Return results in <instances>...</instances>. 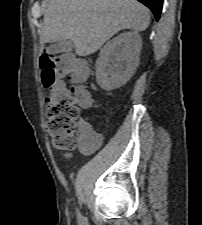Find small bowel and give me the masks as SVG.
<instances>
[{"label":"small bowel","mask_w":202,"mask_h":225,"mask_svg":"<svg viewBox=\"0 0 202 225\" xmlns=\"http://www.w3.org/2000/svg\"><path fill=\"white\" fill-rule=\"evenodd\" d=\"M79 99H80V105L84 109H89L93 106V100L90 95V92L85 89L84 87H80L79 89ZM82 127H89L92 129L91 136H90V142L91 146L89 148H82L81 151L84 153H90L97 151L99 148H101L105 143V137L102 133L96 131L94 129V125L88 121L83 120L81 122Z\"/></svg>","instance_id":"c3829d8e"}]
</instances>
